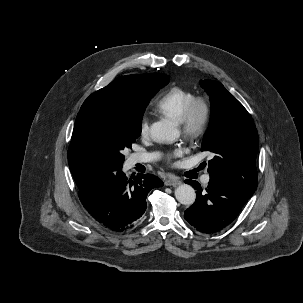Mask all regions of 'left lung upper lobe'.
I'll return each instance as SVG.
<instances>
[{
    "label": "left lung upper lobe",
    "mask_w": 303,
    "mask_h": 303,
    "mask_svg": "<svg viewBox=\"0 0 303 303\" xmlns=\"http://www.w3.org/2000/svg\"><path fill=\"white\" fill-rule=\"evenodd\" d=\"M200 85L211 101V119L201 148L215 155L208 163V172L253 195L257 186L259 144L254 122L221 83L201 80Z\"/></svg>",
    "instance_id": "5c2ea615"
}]
</instances>
